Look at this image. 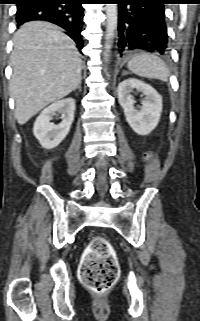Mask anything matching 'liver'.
<instances>
[{"label":"liver","instance_id":"6515ba94","mask_svg":"<svg viewBox=\"0 0 200 321\" xmlns=\"http://www.w3.org/2000/svg\"><path fill=\"white\" fill-rule=\"evenodd\" d=\"M10 62L9 90L20 125L67 96L81 81L82 61L74 41L50 23L21 26L14 36Z\"/></svg>","mask_w":200,"mask_h":321}]
</instances>
